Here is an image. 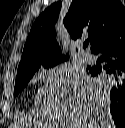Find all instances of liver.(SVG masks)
<instances>
[{"label":"liver","instance_id":"1","mask_svg":"<svg viewBox=\"0 0 125 128\" xmlns=\"http://www.w3.org/2000/svg\"><path fill=\"white\" fill-rule=\"evenodd\" d=\"M108 92L86 74H68L41 89L36 109L21 124L34 128H113L109 121Z\"/></svg>","mask_w":125,"mask_h":128}]
</instances>
